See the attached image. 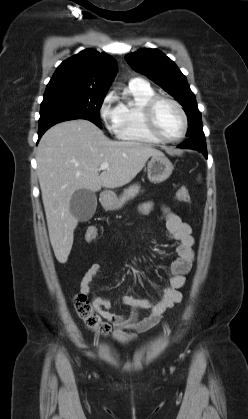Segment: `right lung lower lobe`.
<instances>
[{
  "instance_id": "98d812e1",
  "label": "right lung lower lobe",
  "mask_w": 248,
  "mask_h": 419,
  "mask_svg": "<svg viewBox=\"0 0 248 419\" xmlns=\"http://www.w3.org/2000/svg\"><path fill=\"white\" fill-rule=\"evenodd\" d=\"M74 119H85V118L81 116H76V115H58V116L47 118L43 121H39L38 141L41 138V136L45 133V131H47L51 126L57 123L63 122V121L74 120Z\"/></svg>"
}]
</instances>
